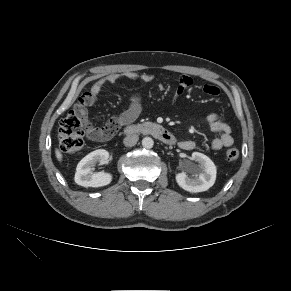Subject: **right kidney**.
<instances>
[{
	"mask_svg": "<svg viewBox=\"0 0 291 291\" xmlns=\"http://www.w3.org/2000/svg\"><path fill=\"white\" fill-rule=\"evenodd\" d=\"M109 153L98 149L85 156L77 165L75 182L83 187H101L112 181V175L104 171L93 173L97 163H108Z\"/></svg>",
	"mask_w": 291,
	"mask_h": 291,
	"instance_id": "obj_1",
	"label": "right kidney"
}]
</instances>
